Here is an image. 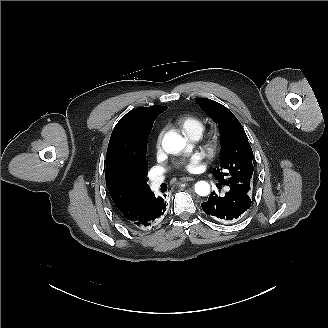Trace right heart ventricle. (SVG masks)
Returning a JSON list of instances; mask_svg holds the SVG:
<instances>
[{"label": "right heart ventricle", "mask_w": 328, "mask_h": 328, "mask_svg": "<svg viewBox=\"0 0 328 328\" xmlns=\"http://www.w3.org/2000/svg\"><path fill=\"white\" fill-rule=\"evenodd\" d=\"M177 125L187 138L193 139L203 134L208 122L201 116H187L179 119Z\"/></svg>", "instance_id": "1"}]
</instances>
